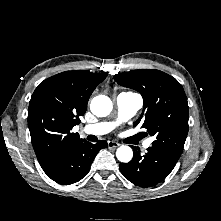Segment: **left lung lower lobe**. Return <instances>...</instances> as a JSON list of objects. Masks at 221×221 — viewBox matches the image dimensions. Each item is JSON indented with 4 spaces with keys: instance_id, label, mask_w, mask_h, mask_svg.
<instances>
[{
    "instance_id": "obj_1",
    "label": "left lung lower lobe",
    "mask_w": 221,
    "mask_h": 221,
    "mask_svg": "<svg viewBox=\"0 0 221 221\" xmlns=\"http://www.w3.org/2000/svg\"><path fill=\"white\" fill-rule=\"evenodd\" d=\"M132 148L133 159L129 163H121L119 168L130 182L140 187H151L163 181L180 157L168 150L153 146L141 156L138 147Z\"/></svg>"
}]
</instances>
